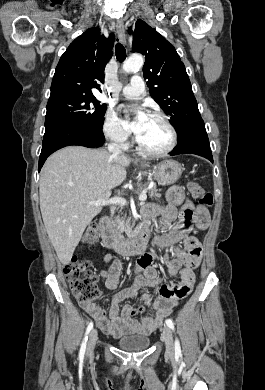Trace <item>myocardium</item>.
<instances>
[{
  "label": "myocardium",
  "mask_w": 265,
  "mask_h": 390,
  "mask_svg": "<svg viewBox=\"0 0 265 390\" xmlns=\"http://www.w3.org/2000/svg\"><path fill=\"white\" fill-rule=\"evenodd\" d=\"M148 116L157 118L161 122H163V124L166 126V128L168 129V131L170 133V142L167 145V147L164 148L163 150L152 151V150H149L146 147H144L143 144L138 139V137L136 136L135 137V142H136L137 148L139 149L140 152H142L143 154H145L147 156H151V157H163V156H166L169 153H171L174 150V148L176 147V145H177V141H178L177 131H176L175 127L173 126V124L168 119V117L165 116L163 113H161L159 111H152V112H150L148 114Z\"/></svg>",
  "instance_id": "1"
}]
</instances>
